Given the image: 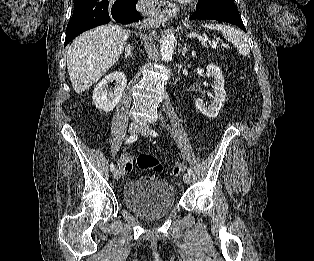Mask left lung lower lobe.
Returning a JSON list of instances; mask_svg holds the SVG:
<instances>
[{"mask_svg":"<svg viewBox=\"0 0 314 261\" xmlns=\"http://www.w3.org/2000/svg\"><path fill=\"white\" fill-rule=\"evenodd\" d=\"M218 20L234 24L246 32L238 10L233 9H196L189 20Z\"/></svg>","mask_w":314,"mask_h":261,"instance_id":"left-lung-lower-lobe-1","label":"left lung lower lobe"}]
</instances>
